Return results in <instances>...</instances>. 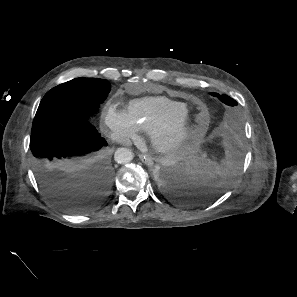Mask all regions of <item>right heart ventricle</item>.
<instances>
[{
  "instance_id": "e07e8e85",
  "label": "right heart ventricle",
  "mask_w": 297,
  "mask_h": 297,
  "mask_svg": "<svg viewBox=\"0 0 297 297\" xmlns=\"http://www.w3.org/2000/svg\"><path fill=\"white\" fill-rule=\"evenodd\" d=\"M187 104L165 96H146L135 99L127 107V114L140 131L147 132L159 121L186 111Z\"/></svg>"
}]
</instances>
